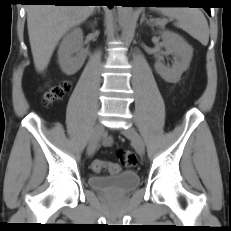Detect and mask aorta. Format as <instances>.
<instances>
[{
	"mask_svg": "<svg viewBox=\"0 0 231 231\" xmlns=\"http://www.w3.org/2000/svg\"><path fill=\"white\" fill-rule=\"evenodd\" d=\"M117 10L121 22L126 26L131 19L132 7L117 6Z\"/></svg>",
	"mask_w": 231,
	"mask_h": 231,
	"instance_id": "762f6f07",
	"label": "aorta"
}]
</instances>
